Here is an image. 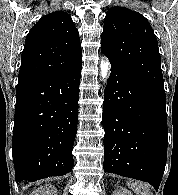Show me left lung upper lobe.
<instances>
[{
    "mask_svg": "<svg viewBox=\"0 0 178 195\" xmlns=\"http://www.w3.org/2000/svg\"><path fill=\"white\" fill-rule=\"evenodd\" d=\"M101 51L112 67L164 88L158 41L143 15L124 7L109 9Z\"/></svg>",
    "mask_w": 178,
    "mask_h": 195,
    "instance_id": "left-lung-upper-lobe-1",
    "label": "left lung upper lobe"
}]
</instances>
